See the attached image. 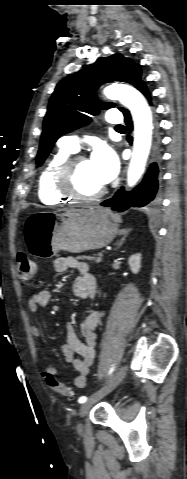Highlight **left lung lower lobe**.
Segmentation results:
<instances>
[{
  "mask_svg": "<svg viewBox=\"0 0 187 479\" xmlns=\"http://www.w3.org/2000/svg\"><path fill=\"white\" fill-rule=\"evenodd\" d=\"M150 101V95L146 88V85L141 81L137 87ZM125 117V123L127 130L132 131L133 125L131 116L128 110L124 109L123 111ZM128 141L131 142V138L128 137ZM160 156L159 153H156L155 162H153L148 172L146 173L142 183L134 188L130 192H125L122 187L116 192L113 199L106 200L101 203L102 206L111 207L114 211H125L130 207H144L148 204H155L159 200V186L161 182L160 174Z\"/></svg>",
  "mask_w": 187,
  "mask_h": 479,
  "instance_id": "left-lung-lower-lobe-1",
  "label": "left lung lower lobe"
}]
</instances>
